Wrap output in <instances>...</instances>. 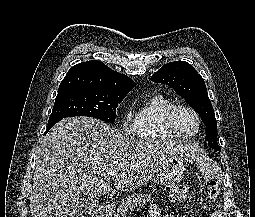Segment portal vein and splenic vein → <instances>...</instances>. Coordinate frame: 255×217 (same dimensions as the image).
Returning a JSON list of instances; mask_svg holds the SVG:
<instances>
[{
	"label": "portal vein and splenic vein",
	"instance_id": "portal-vein-and-splenic-vein-1",
	"mask_svg": "<svg viewBox=\"0 0 255 217\" xmlns=\"http://www.w3.org/2000/svg\"><path fill=\"white\" fill-rule=\"evenodd\" d=\"M110 175H111V176H117V175H118V172H117V171H112V172L110 173Z\"/></svg>",
	"mask_w": 255,
	"mask_h": 217
}]
</instances>
